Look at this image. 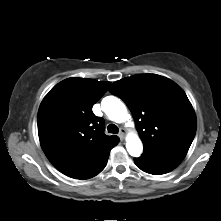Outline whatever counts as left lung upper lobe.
Here are the masks:
<instances>
[{
	"label": "left lung upper lobe",
	"mask_w": 221,
	"mask_h": 221,
	"mask_svg": "<svg viewBox=\"0 0 221 221\" xmlns=\"http://www.w3.org/2000/svg\"><path fill=\"white\" fill-rule=\"evenodd\" d=\"M109 91L132 112L145 152L188 151L196 133V116L175 82L156 74H138L114 82Z\"/></svg>",
	"instance_id": "obj_1"
}]
</instances>
